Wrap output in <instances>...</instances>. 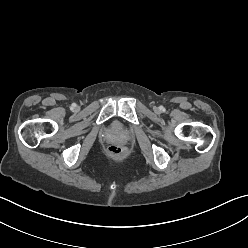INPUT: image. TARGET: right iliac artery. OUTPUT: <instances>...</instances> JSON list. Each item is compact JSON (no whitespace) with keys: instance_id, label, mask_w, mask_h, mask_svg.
I'll return each mask as SVG.
<instances>
[{"instance_id":"obj_1","label":"right iliac artery","mask_w":248,"mask_h":248,"mask_svg":"<svg viewBox=\"0 0 248 248\" xmlns=\"http://www.w3.org/2000/svg\"><path fill=\"white\" fill-rule=\"evenodd\" d=\"M74 107H75V104H72L71 109H73Z\"/></svg>"}]
</instances>
